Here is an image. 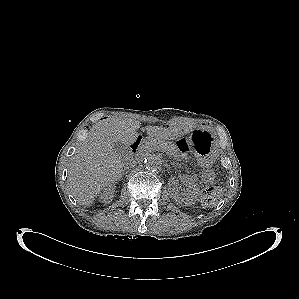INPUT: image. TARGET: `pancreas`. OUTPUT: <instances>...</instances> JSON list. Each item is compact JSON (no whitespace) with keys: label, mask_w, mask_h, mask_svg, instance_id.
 Here are the masks:
<instances>
[{"label":"pancreas","mask_w":299,"mask_h":299,"mask_svg":"<svg viewBox=\"0 0 299 299\" xmlns=\"http://www.w3.org/2000/svg\"><path fill=\"white\" fill-rule=\"evenodd\" d=\"M143 149L145 151L161 150L163 152H166L168 156L179 158V152L176 145L163 140H156V139L146 140L143 144Z\"/></svg>","instance_id":"cf45deb5"}]
</instances>
